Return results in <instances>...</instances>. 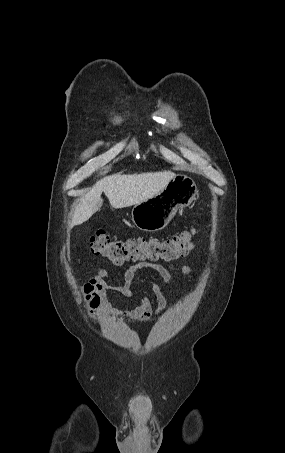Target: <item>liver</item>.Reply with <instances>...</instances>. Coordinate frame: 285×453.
I'll use <instances>...</instances> for the list:
<instances>
[{
    "label": "liver",
    "instance_id": "liver-1",
    "mask_svg": "<svg viewBox=\"0 0 285 453\" xmlns=\"http://www.w3.org/2000/svg\"><path fill=\"white\" fill-rule=\"evenodd\" d=\"M176 175L170 171L141 174H114L98 181L82 196L77 205L70 228L87 221L102 204V192L115 209L139 204L162 191Z\"/></svg>",
    "mask_w": 285,
    "mask_h": 453
}]
</instances>
